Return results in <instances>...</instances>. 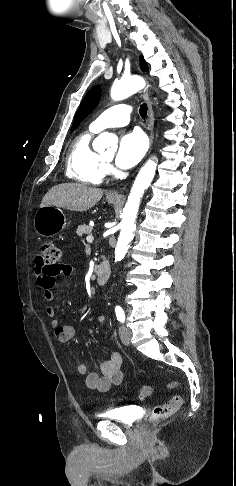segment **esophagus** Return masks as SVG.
Returning a JSON list of instances; mask_svg holds the SVG:
<instances>
[{
  "instance_id": "esophagus-1",
  "label": "esophagus",
  "mask_w": 236,
  "mask_h": 486,
  "mask_svg": "<svg viewBox=\"0 0 236 486\" xmlns=\"http://www.w3.org/2000/svg\"><path fill=\"white\" fill-rule=\"evenodd\" d=\"M143 98L147 102L148 105V119H147V124H148V130L150 132V144L153 142V126H154V112L152 108V102L149 98V94L147 89L145 88L142 92ZM109 197L117 198L120 197L121 195V189L118 190H111L107 194Z\"/></svg>"
}]
</instances>
